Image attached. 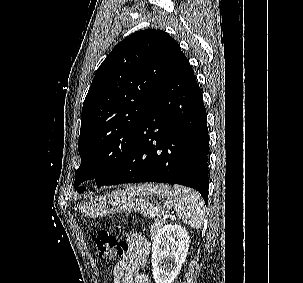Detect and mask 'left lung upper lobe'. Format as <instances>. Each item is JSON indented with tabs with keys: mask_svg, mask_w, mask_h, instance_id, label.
I'll return each mask as SVG.
<instances>
[{
	"mask_svg": "<svg viewBox=\"0 0 303 283\" xmlns=\"http://www.w3.org/2000/svg\"><path fill=\"white\" fill-rule=\"evenodd\" d=\"M181 53L166 32L146 29L122 40L96 71L81 114V165L74 186L95 178L103 186L120 169L147 108Z\"/></svg>",
	"mask_w": 303,
	"mask_h": 283,
	"instance_id": "left-lung-upper-lobe-1",
	"label": "left lung upper lobe"
}]
</instances>
